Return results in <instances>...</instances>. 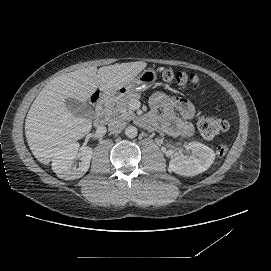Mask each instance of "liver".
Returning <instances> with one entry per match:
<instances>
[{
	"label": "liver",
	"mask_w": 271,
	"mask_h": 271,
	"mask_svg": "<svg viewBox=\"0 0 271 271\" xmlns=\"http://www.w3.org/2000/svg\"><path fill=\"white\" fill-rule=\"evenodd\" d=\"M146 66L128 62L81 68L51 79L33 101L25 120V136L35 158L48 164L61 147L85 136L91 121L65 108L67 98L85 102L99 88L109 91L130 82Z\"/></svg>",
	"instance_id": "6515ba94"
}]
</instances>
